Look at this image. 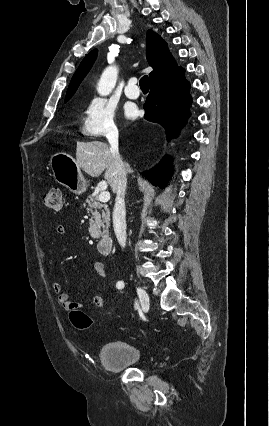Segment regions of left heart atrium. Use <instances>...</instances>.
<instances>
[{"mask_svg": "<svg viewBox=\"0 0 269 426\" xmlns=\"http://www.w3.org/2000/svg\"><path fill=\"white\" fill-rule=\"evenodd\" d=\"M136 113H137V109H136V107L134 105L128 104L125 107V115L127 117H129V118L134 117L136 115Z\"/></svg>", "mask_w": 269, "mask_h": 426, "instance_id": "left-heart-atrium-1", "label": "left heart atrium"}]
</instances>
